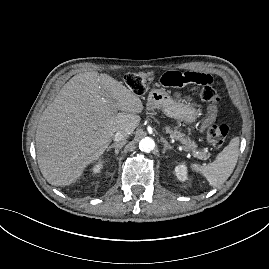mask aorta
I'll return each instance as SVG.
<instances>
[{"instance_id":"1","label":"aorta","mask_w":269,"mask_h":269,"mask_svg":"<svg viewBox=\"0 0 269 269\" xmlns=\"http://www.w3.org/2000/svg\"><path fill=\"white\" fill-rule=\"evenodd\" d=\"M154 148L155 142L151 137H145L139 143V149L143 152H151Z\"/></svg>"}]
</instances>
